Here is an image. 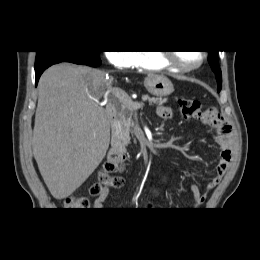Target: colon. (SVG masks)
<instances>
[{
	"mask_svg": "<svg viewBox=\"0 0 260 260\" xmlns=\"http://www.w3.org/2000/svg\"><path fill=\"white\" fill-rule=\"evenodd\" d=\"M180 113L184 118H198L203 114L201 105L195 99H181L178 102ZM125 169L124 158L114 152H110L106 158L104 167L99 173V181L95 183L90 193L93 196H100L107 187H120L123 184V179L118 175ZM89 203L83 197H70L64 201L65 208L69 210H85Z\"/></svg>",
	"mask_w": 260,
	"mask_h": 260,
	"instance_id": "colon-1",
	"label": "colon"
}]
</instances>
